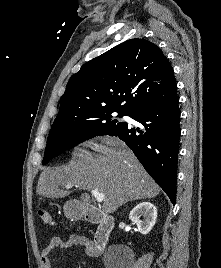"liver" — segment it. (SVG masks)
Wrapping results in <instances>:
<instances>
[{"mask_svg":"<svg viewBox=\"0 0 221 268\" xmlns=\"http://www.w3.org/2000/svg\"><path fill=\"white\" fill-rule=\"evenodd\" d=\"M106 145L90 142L98 154L76 148L67 166L45 168L36 192L47 198H64L72 191L60 187L73 184L79 190L104 193L103 211L112 213L123 204L153 198L160 187L145 171L132 151L118 138L104 137Z\"/></svg>","mask_w":221,"mask_h":268,"instance_id":"6515ba94","label":"liver"}]
</instances>
